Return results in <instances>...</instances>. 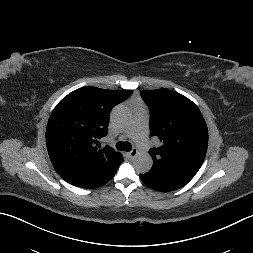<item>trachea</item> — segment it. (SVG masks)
<instances>
[{"label":"trachea","instance_id":"3493384b","mask_svg":"<svg viewBox=\"0 0 253 253\" xmlns=\"http://www.w3.org/2000/svg\"><path fill=\"white\" fill-rule=\"evenodd\" d=\"M116 149L120 150V151H131L132 146L129 142L119 141V142L116 143Z\"/></svg>","mask_w":253,"mask_h":253}]
</instances>
